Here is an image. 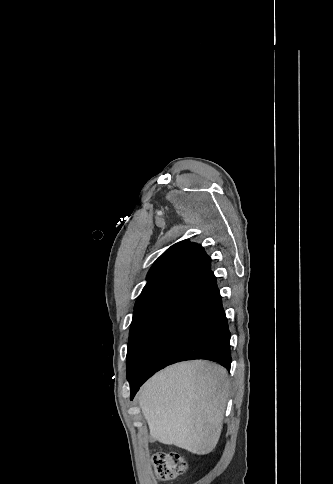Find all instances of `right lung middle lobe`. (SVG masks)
Returning a JSON list of instances; mask_svg holds the SVG:
<instances>
[{
	"mask_svg": "<svg viewBox=\"0 0 333 484\" xmlns=\"http://www.w3.org/2000/svg\"><path fill=\"white\" fill-rule=\"evenodd\" d=\"M162 299L147 302L134 310L127 351V378L130 380L139 358V348L152 313Z\"/></svg>",
	"mask_w": 333,
	"mask_h": 484,
	"instance_id": "obj_1",
	"label": "right lung middle lobe"
}]
</instances>
